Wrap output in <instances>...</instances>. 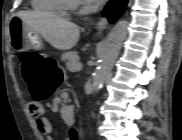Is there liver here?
I'll return each mask as SVG.
<instances>
[{"instance_id":"1","label":"liver","mask_w":182,"mask_h":140,"mask_svg":"<svg viewBox=\"0 0 182 140\" xmlns=\"http://www.w3.org/2000/svg\"><path fill=\"white\" fill-rule=\"evenodd\" d=\"M18 16L28 28L41 35L52 47L59 50L73 48L79 39V27L55 14L20 12Z\"/></svg>"}]
</instances>
